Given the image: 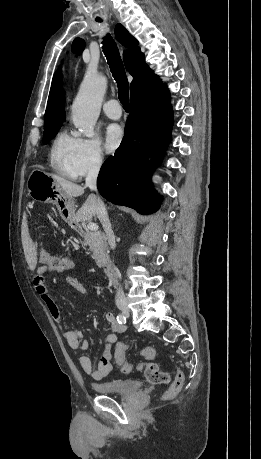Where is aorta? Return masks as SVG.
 Wrapping results in <instances>:
<instances>
[{
    "instance_id": "762f6f07",
    "label": "aorta",
    "mask_w": 261,
    "mask_h": 459,
    "mask_svg": "<svg viewBox=\"0 0 261 459\" xmlns=\"http://www.w3.org/2000/svg\"><path fill=\"white\" fill-rule=\"evenodd\" d=\"M107 88V80L98 74H87L72 105V120L80 135L94 136Z\"/></svg>"
}]
</instances>
